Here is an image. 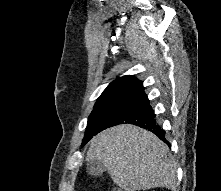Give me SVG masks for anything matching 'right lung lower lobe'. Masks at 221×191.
I'll return each instance as SVG.
<instances>
[{"label":"right lung lower lobe","instance_id":"98d812e1","mask_svg":"<svg viewBox=\"0 0 221 191\" xmlns=\"http://www.w3.org/2000/svg\"><path fill=\"white\" fill-rule=\"evenodd\" d=\"M155 116L141 84L113 105L103 120L100 131L118 124L130 123L147 129L166 141L165 133L156 123ZM167 144L169 145L168 142Z\"/></svg>","mask_w":221,"mask_h":191}]
</instances>
